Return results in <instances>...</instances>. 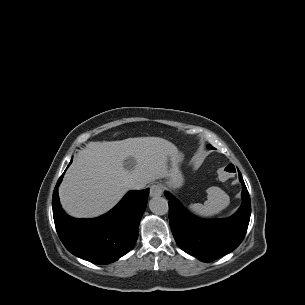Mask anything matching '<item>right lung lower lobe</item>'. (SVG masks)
<instances>
[{"instance_id":"right-lung-lower-lobe-1","label":"right lung lower lobe","mask_w":305,"mask_h":305,"mask_svg":"<svg viewBox=\"0 0 305 305\" xmlns=\"http://www.w3.org/2000/svg\"><path fill=\"white\" fill-rule=\"evenodd\" d=\"M62 177L54 189L52 206L58 236L67 250L96 264H109L129 252L138 238L149 189L128 192L117 206L101 217L77 219L61 208L58 186Z\"/></svg>"}]
</instances>
